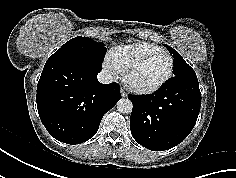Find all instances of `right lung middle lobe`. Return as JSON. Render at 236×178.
<instances>
[{
	"mask_svg": "<svg viewBox=\"0 0 236 178\" xmlns=\"http://www.w3.org/2000/svg\"><path fill=\"white\" fill-rule=\"evenodd\" d=\"M106 51L104 43L95 42L88 37L78 36L66 42L48 60L57 58H90L102 64Z\"/></svg>",
	"mask_w": 236,
	"mask_h": 178,
	"instance_id": "right-lung-middle-lobe-1",
	"label": "right lung middle lobe"
}]
</instances>
